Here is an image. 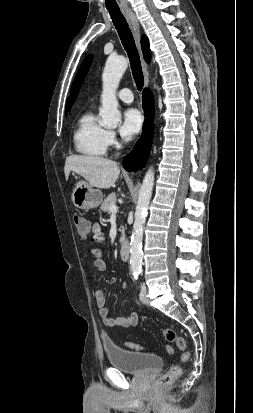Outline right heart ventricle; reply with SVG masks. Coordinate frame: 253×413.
<instances>
[{"instance_id": "e07e8e85", "label": "right heart ventricle", "mask_w": 253, "mask_h": 413, "mask_svg": "<svg viewBox=\"0 0 253 413\" xmlns=\"http://www.w3.org/2000/svg\"><path fill=\"white\" fill-rule=\"evenodd\" d=\"M75 150L91 158L103 157L107 153V130L98 122L94 112H84L77 121L73 134Z\"/></svg>"}]
</instances>
